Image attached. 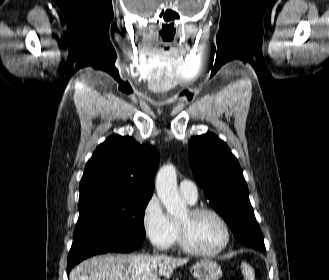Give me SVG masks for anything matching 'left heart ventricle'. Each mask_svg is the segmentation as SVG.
Here are the masks:
<instances>
[{
	"instance_id": "1",
	"label": "left heart ventricle",
	"mask_w": 329,
	"mask_h": 280,
	"mask_svg": "<svg viewBox=\"0 0 329 280\" xmlns=\"http://www.w3.org/2000/svg\"><path fill=\"white\" fill-rule=\"evenodd\" d=\"M178 221L186 227L191 243L198 249L213 251L223 243V228L210 215L204 214L192 218L186 211Z\"/></svg>"
}]
</instances>
